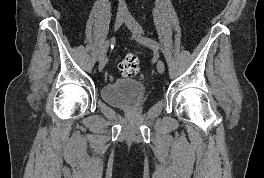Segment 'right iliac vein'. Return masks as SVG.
<instances>
[{
    "instance_id": "right-iliac-vein-1",
    "label": "right iliac vein",
    "mask_w": 264,
    "mask_h": 178,
    "mask_svg": "<svg viewBox=\"0 0 264 178\" xmlns=\"http://www.w3.org/2000/svg\"><path fill=\"white\" fill-rule=\"evenodd\" d=\"M127 16L123 13H118L116 15V19H115V26H114V29L117 30L120 28V26L123 24V22L126 20ZM106 65V58H103L100 63H99V66H98V69L99 71H102L103 68L105 67Z\"/></svg>"
}]
</instances>
